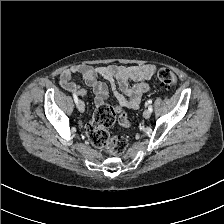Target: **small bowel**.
I'll return each mask as SVG.
<instances>
[{
  "instance_id": "c3829d8e",
  "label": "small bowel",
  "mask_w": 224,
  "mask_h": 224,
  "mask_svg": "<svg viewBox=\"0 0 224 224\" xmlns=\"http://www.w3.org/2000/svg\"><path fill=\"white\" fill-rule=\"evenodd\" d=\"M156 71L152 65H106L91 66L81 64L62 71L60 85L67 91L79 96L86 94L85 89L73 82V75H80L84 83L92 88L95 94V104L100 106L105 103L108 96V86L99 80H107L114 92L121 108L138 109L143 94L149 92L150 86L146 81Z\"/></svg>"
}]
</instances>
